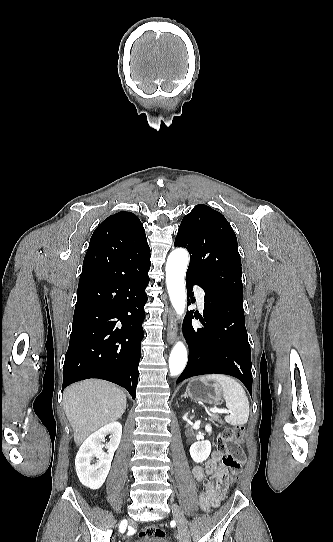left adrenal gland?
I'll use <instances>...</instances> for the list:
<instances>
[{"label": "left adrenal gland", "mask_w": 333, "mask_h": 542, "mask_svg": "<svg viewBox=\"0 0 333 542\" xmlns=\"http://www.w3.org/2000/svg\"><path fill=\"white\" fill-rule=\"evenodd\" d=\"M181 398H188L186 392H185V394H183V396H181Z\"/></svg>", "instance_id": "obj_1"}]
</instances>
